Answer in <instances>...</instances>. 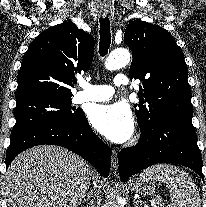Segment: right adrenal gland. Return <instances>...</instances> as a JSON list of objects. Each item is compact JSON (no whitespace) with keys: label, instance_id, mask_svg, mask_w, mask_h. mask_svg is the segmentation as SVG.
<instances>
[{"label":"right adrenal gland","instance_id":"right-adrenal-gland-1","mask_svg":"<svg viewBox=\"0 0 206 207\" xmlns=\"http://www.w3.org/2000/svg\"><path fill=\"white\" fill-rule=\"evenodd\" d=\"M93 203H94V200L92 199V193L90 192L89 194H88V197L85 199H83V201H82V207H85V204L87 205V207H88V205H90V207H94L93 206Z\"/></svg>","mask_w":206,"mask_h":207}]
</instances>
